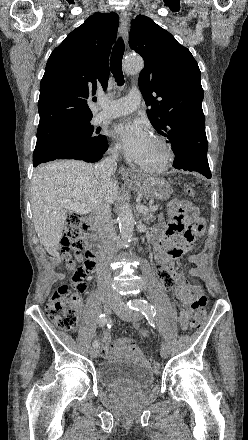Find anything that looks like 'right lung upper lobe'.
Instances as JSON below:
<instances>
[{"label":"right lung upper lobe","mask_w":248,"mask_h":440,"mask_svg":"<svg viewBox=\"0 0 248 440\" xmlns=\"http://www.w3.org/2000/svg\"><path fill=\"white\" fill-rule=\"evenodd\" d=\"M118 25L116 13L96 12L54 49L40 84L38 131L92 118L87 102L107 88Z\"/></svg>","instance_id":"right-lung-upper-lobe-1"}]
</instances>
